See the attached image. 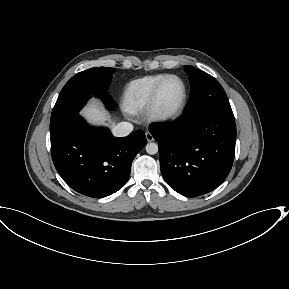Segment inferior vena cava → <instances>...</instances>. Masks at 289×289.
Listing matches in <instances>:
<instances>
[{"mask_svg":"<svg viewBox=\"0 0 289 289\" xmlns=\"http://www.w3.org/2000/svg\"><path fill=\"white\" fill-rule=\"evenodd\" d=\"M133 130V125L129 122H120L113 129L112 133L116 137H125Z\"/></svg>","mask_w":289,"mask_h":289,"instance_id":"obj_1","label":"inferior vena cava"}]
</instances>
